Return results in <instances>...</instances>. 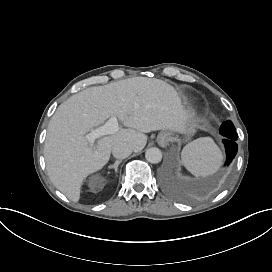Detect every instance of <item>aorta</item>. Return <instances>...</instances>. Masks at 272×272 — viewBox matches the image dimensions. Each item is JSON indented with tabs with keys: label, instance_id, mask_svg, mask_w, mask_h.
<instances>
[{
	"label": "aorta",
	"instance_id": "obj_1",
	"mask_svg": "<svg viewBox=\"0 0 272 272\" xmlns=\"http://www.w3.org/2000/svg\"><path fill=\"white\" fill-rule=\"evenodd\" d=\"M145 157L148 162L157 164L162 160V152L158 148H150L146 151Z\"/></svg>",
	"mask_w": 272,
	"mask_h": 272
}]
</instances>
